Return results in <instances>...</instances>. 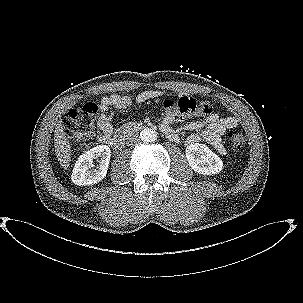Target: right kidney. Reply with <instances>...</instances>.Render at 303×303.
<instances>
[{"mask_svg":"<svg viewBox=\"0 0 303 303\" xmlns=\"http://www.w3.org/2000/svg\"><path fill=\"white\" fill-rule=\"evenodd\" d=\"M111 150L106 145H98L82 154L75 163L72 182L78 186L93 185L100 182L107 174ZM99 160V166L93 168V160Z\"/></svg>","mask_w":303,"mask_h":303,"instance_id":"obj_1","label":"right kidney"}]
</instances>
